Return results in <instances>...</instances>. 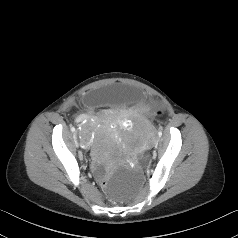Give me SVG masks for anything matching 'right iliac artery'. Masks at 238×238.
Returning a JSON list of instances; mask_svg holds the SVG:
<instances>
[{
	"instance_id": "1",
	"label": "right iliac artery",
	"mask_w": 238,
	"mask_h": 238,
	"mask_svg": "<svg viewBox=\"0 0 238 238\" xmlns=\"http://www.w3.org/2000/svg\"><path fill=\"white\" fill-rule=\"evenodd\" d=\"M71 131L74 132V131H75V128H74V127H71Z\"/></svg>"
}]
</instances>
